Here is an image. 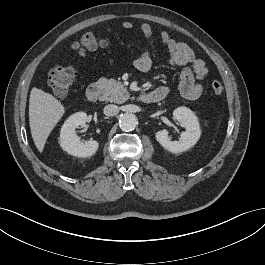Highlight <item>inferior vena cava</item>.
Segmentation results:
<instances>
[{
	"label": "inferior vena cava",
	"mask_w": 265,
	"mask_h": 265,
	"mask_svg": "<svg viewBox=\"0 0 265 265\" xmlns=\"http://www.w3.org/2000/svg\"><path fill=\"white\" fill-rule=\"evenodd\" d=\"M103 112L106 116H115L119 113V107L114 104H109L104 107Z\"/></svg>",
	"instance_id": "602c4592"
}]
</instances>
